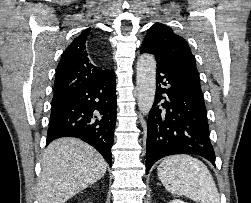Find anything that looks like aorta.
<instances>
[{"instance_id": "1", "label": "aorta", "mask_w": 251, "mask_h": 203, "mask_svg": "<svg viewBox=\"0 0 251 203\" xmlns=\"http://www.w3.org/2000/svg\"><path fill=\"white\" fill-rule=\"evenodd\" d=\"M137 101L140 112L149 114L155 99L156 60L154 55L144 53L137 62Z\"/></svg>"}]
</instances>
